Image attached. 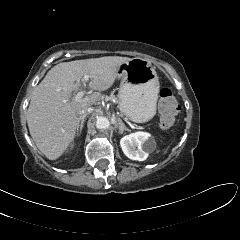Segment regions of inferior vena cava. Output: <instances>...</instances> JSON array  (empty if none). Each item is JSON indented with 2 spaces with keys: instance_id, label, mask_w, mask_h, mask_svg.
Wrapping results in <instances>:
<instances>
[{
  "instance_id": "1",
  "label": "inferior vena cava",
  "mask_w": 240,
  "mask_h": 240,
  "mask_svg": "<svg viewBox=\"0 0 240 240\" xmlns=\"http://www.w3.org/2000/svg\"><path fill=\"white\" fill-rule=\"evenodd\" d=\"M92 111V108L91 107H87V108H84L82 109L80 112H79V115L80 117L84 116V115H87L88 113H90Z\"/></svg>"
}]
</instances>
